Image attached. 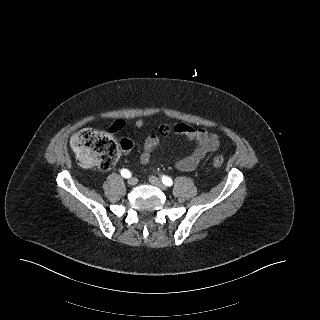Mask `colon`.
Returning <instances> with one entry per match:
<instances>
[{"mask_svg": "<svg viewBox=\"0 0 320 320\" xmlns=\"http://www.w3.org/2000/svg\"><path fill=\"white\" fill-rule=\"evenodd\" d=\"M119 124H113L109 132L91 128L82 129L71 138V146L76 151L80 161L101 170L110 169L118 160L121 151L132 147L130 140L124 138L118 141L112 133L117 132ZM224 158L217 154L213 164L221 167Z\"/></svg>", "mask_w": 320, "mask_h": 320, "instance_id": "1", "label": "colon"}]
</instances>
